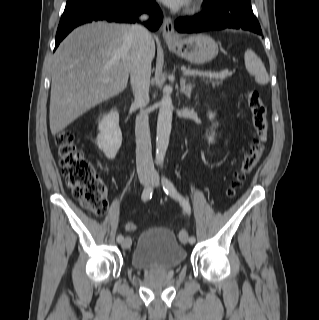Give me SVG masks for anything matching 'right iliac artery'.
<instances>
[{
	"label": "right iliac artery",
	"mask_w": 319,
	"mask_h": 320,
	"mask_svg": "<svg viewBox=\"0 0 319 320\" xmlns=\"http://www.w3.org/2000/svg\"><path fill=\"white\" fill-rule=\"evenodd\" d=\"M152 192H153V188L150 185L146 186L144 188L142 196H141L142 200L147 201V200L151 199ZM123 239H124L123 235L120 234L117 236L118 243H121L123 241Z\"/></svg>",
	"instance_id": "right-iliac-artery-1"
}]
</instances>
